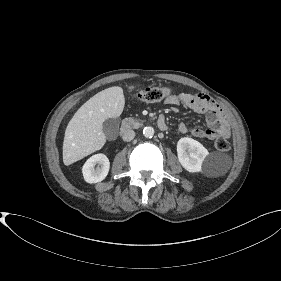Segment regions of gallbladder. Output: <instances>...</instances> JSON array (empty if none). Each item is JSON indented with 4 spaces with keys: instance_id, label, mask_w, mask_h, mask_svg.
Masks as SVG:
<instances>
[{
    "instance_id": "bac80fb5",
    "label": "gallbladder",
    "mask_w": 281,
    "mask_h": 281,
    "mask_svg": "<svg viewBox=\"0 0 281 281\" xmlns=\"http://www.w3.org/2000/svg\"><path fill=\"white\" fill-rule=\"evenodd\" d=\"M119 119L110 118L104 121L103 123V132L108 139H113L117 136L119 130Z\"/></svg>"
}]
</instances>
